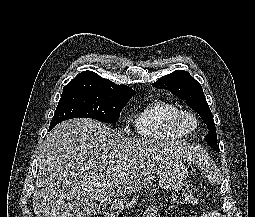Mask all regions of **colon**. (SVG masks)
<instances>
[{"mask_svg":"<svg viewBox=\"0 0 255 217\" xmlns=\"http://www.w3.org/2000/svg\"><path fill=\"white\" fill-rule=\"evenodd\" d=\"M173 201L176 204H193L195 196L189 185H181L173 192Z\"/></svg>","mask_w":255,"mask_h":217,"instance_id":"5ec220e1","label":"colon"}]
</instances>
